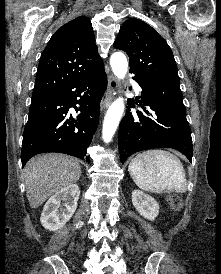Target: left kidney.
Segmentation results:
<instances>
[{"mask_svg":"<svg viewBox=\"0 0 221 274\" xmlns=\"http://www.w3.org/2000/svg\"><path fill=\"white\" fill-rule=\"evenodd\" d=\"M132 202L136 210L144 218L153 221L159 213V204L155 199L140 190L132 192Z\"/></svg>","mask_w":221,"mask_h":274,"instance_id":"5707ae66","label":"left kidney"}]
</instances>
